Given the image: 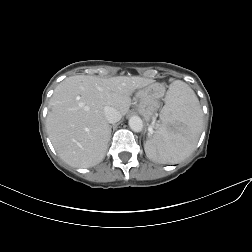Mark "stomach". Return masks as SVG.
I'll return each mask as SVG.
<instances>
[{
    "mask_svg": "<svg viewBox=\"0 0 252 252\" xmlns=\"http://www.w3.org/2000/svg\"><path fill=\"white\" fill-rule=\"evenodd\" d=\"M165 94V87L159 83H152L143 89H140L136 93V101L138 102L137 110L145 117L150 120L153 114L160 107V100ZM169 130L174 128L168 125Z\"/></svg>",
    "mask_w": 252,
    "mask_h": 252,
    "instance_id": "obj_1",
    "label": "stomach"
}]
</instances>
